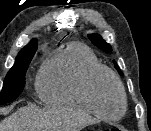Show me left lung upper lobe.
I'll use <instances>...</instances> for the list:
<instances>
[{"label": "left lung upper lobe", "instance_id": "obj_1", "mask_svg": "<svg viewBox=\"0 0 151 131\" xmlns=\"http://www.w3.org/2000/svg\"><path fill=\"white\" fill-rule=\"evenodd\" d=\"M89 39L91 40V42L97 46L98 48H100L101 50H103L104 52H107V53H110L112 52V48L111 46L105 41L102 39V37L100 35H97V34H91V35H88ZM115 64V67L117 69H119V67L116 65V62H114ZM120 72V71H119ZM120 74H122L120 72Z\"/></svg>", "mask_w": 151, "mask_h": 131}]
</instances>
